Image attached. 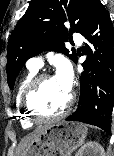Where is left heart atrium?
Here are the masks:
<instances>
[{"instance_id":"39dd6f15","label":"left heart atrium","mask_w":114,"mask_h":156,"mask_svg":"<svg viewBox=\"0 0 114 156\" xmlns=\"http://www.w3.org/2000/svg\"><path fill=\"white\" fill-rule=\"evenodd\" d=\"M55 78L62 89L69 93L72 87L73 72L70 64L67 61H62L59 63Z\"/></svg>"}]
</instances>
